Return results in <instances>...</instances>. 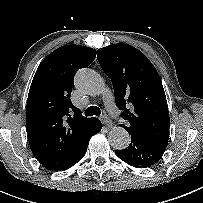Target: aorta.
<instances>
[{
  "label": "aorta",
  "instance_id": "obj_1",
  "mask_svg": "<svg viewBox=\"0 0 203 203\" xmlns=\"http://www.w3.org/2000/svg\"><path fill=\"white\" fill-rule=\"evenodd\" d=\"M75 85L81 93L90 96L101 94L105 88L103 79L91 69L79 70L75 77ZM108 141L114 149L123 150L130 144V135L123 127L116 126L109 131Z\"/></svg>",
  "mask_w": 203,
  "mask_h": 203
}]
</instances>
